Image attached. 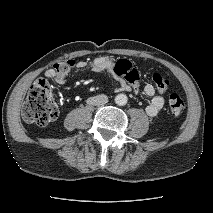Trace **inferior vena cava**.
<instances>
[{
	"label": "inferior vena cava",
	"mask_w": 213,
	"mask_h": 213,
	"mask_svg": "<svg viewBox=\"0 0 213 213\" xmlns=\"http://www.w3.org/2000/svg\"><path fill=\"white\" fill-rule=\"evenodd\" d=\"M107 102H108V97L104 94L97 95V96H94V97H90L87 100L88 104L94 105V106H101V105L106 104Z\"/></svg>",
	"instance_id": "602c4592"
}]
</instances>
